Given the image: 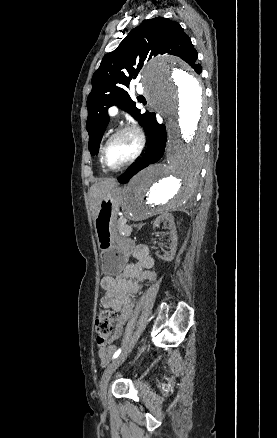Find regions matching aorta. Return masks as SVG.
Wrapping results in <instances>:
<instances>
[{
  "label": "aorta",
  "instance_id": "obj_1",
  "mask_svg": "<svg viewBox=\"0 0 277 438\" xmlns=\"http://www.w3.org/2000/svg\"><path fill=\"white\" fill-rule=\"evenodd\" d=\"M145 94L167 120L166 162L151 165L129 183L126 218L141 221L185 204L193 195L203 157V89L197 75L177 59L161 56L141 73Z\"/></svg>",
  "mask_w": 277,
  "mask_h": 438
}]
</instances>
